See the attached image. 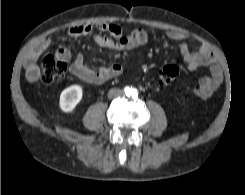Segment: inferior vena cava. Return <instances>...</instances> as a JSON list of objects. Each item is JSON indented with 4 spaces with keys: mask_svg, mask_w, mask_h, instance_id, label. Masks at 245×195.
<instances>
[{
    "mask_svg": "<svg viewBox=\"0 0 245 195\" xmlns=\"http://www.w3.org/2000/svg\"><path fill=\"white\" fill-rule=\"evenodd\" d=\"M122 95H123V91L121 89H118V88H112L108 92V98L109 99L118 98V97H121Z\"/></svg>",
    "mask_w": 245,
    "mask_h": 195,
    "instance_id": "inferior-vena-cava-1",
    "label": "inferior vena cava"
}]
</instances>
